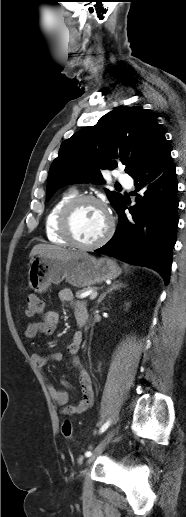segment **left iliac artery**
I'll return each mask as SVG.
<instances>
[{
  "instance_id": "1",
  "label": "left iliac artery",
  "mask_w": 186,
  "mask_h": 517,
  "mask_svg": "<svg viewBox=\"0 0 186 517\" xmlns=\"http://www.w3.org/2000/svg\"><path fill=\"white\" fill-rule=\"evenodd\" d=\"M110 425V421H107L101 428H100V433H103L107 428L108 426ZM92 455L91 451H87L85 453V456L86 457H90Z\"/></svg>"
}]
</instances>
